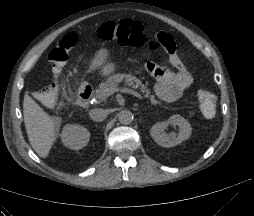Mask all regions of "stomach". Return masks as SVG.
<instances>
[{"instance_id":"stomach-1","label":"stomach","mask_w":254,"mask_h":216,"mask_svg":"<svg viewBox=\"0 0 254 216\" xmlns=\"http://www.w3.org/2000/svg\"><path fill=\"white\" fill-rule=\"evenodd\" d=\"M116 70L117 64L109 58L108 49L106 47H101L93 54L86 72H99L103 76H107L114 73Z\"/></svg>"}]
</instances>
